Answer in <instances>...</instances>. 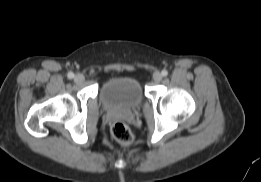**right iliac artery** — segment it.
Returning a JSON list of instances; mask_svg holds the SVG:
<instances>
[{"instance_id":"obj_1","label":"right iliac artery","mask_w":261,"mask_h":182,"mask_svg":"<svg viewBox=\"0 0 261 182\" xmlns=\"http://www.w3.org/2000/svg\"><path fill=\"white\" fill-rule=\"evenodd\" d=\"M67 76H68L69 79H72L74 77V73L69 72Z\"/></svg>"}]
</instances>
